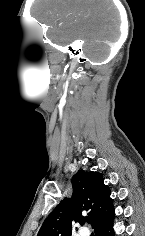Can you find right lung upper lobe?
<instances>
[{"mask_svg":"<svg viewBox=\"0 0 145 236\" xmlns=\"http://www.w3.org/2000/svg\"><path fill=\"white\" fill-rule=\"evenodd\" d=\"M71 182L72 197L64 198L49 214L37 236H71L73 222L84 224V212H88L95 227L113 211L110 189L104 184L102 174L79 170Z\"/></svg>","mask_w":145,"mask_h":236,"instance_id":"obj_1","label":"right lung upper lobe"}]
</instances>
